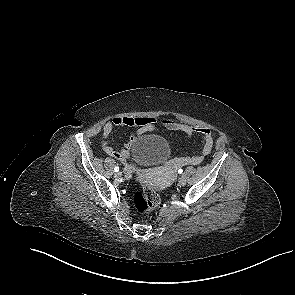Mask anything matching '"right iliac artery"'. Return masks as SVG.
Returning <instances> with one entry per match:
<instances>
[{"label": "right iliac artery", "instance_id": "1", "mask_svg": "<svg viewBox=\"0 0 295 295\" xmlns=\"http://www.w3.org/2000/svg\"><path fill=\"white\" fill-rule=\"evenodd\" d=\"M114 171H115V172H118V171H119V167L116 166V167L114 168Z\"/></svg>", "mask_w": 295, "mask_h": 295}]
</instances>
